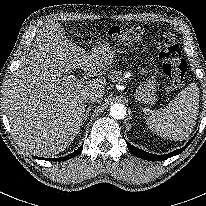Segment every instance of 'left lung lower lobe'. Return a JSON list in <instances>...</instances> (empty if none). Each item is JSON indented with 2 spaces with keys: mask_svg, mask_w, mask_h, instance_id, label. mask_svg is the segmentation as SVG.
<instances>
[{
  "mask_svg": "<svg viewBox=\"0 0 206 206\" xmlns=\"http://www.w3.org/2000/svg\"><path fill=\"white\" fill-rule=\"evenodd\" d=\"M195 136L183 148H180V149H178V150H176L174 152H171L169 154H166V155L150 154L148 152H145V151H143L141 149H138V148L132 146L128 142H126V143H127V147L130 150V152L132 154H134L135 156H137L139 158H142V159H145V160H149V161H160V160H166V159H168V158H170L172 156L178 155L181 152H183L184 149L187 148V146L192 142V140L195 138Z\"/></svg>",
  "mask_w": 206,
  "mask_h": 206,
  "instance_id": "obj_1",
  "label": "left lung lower lobe"
}]
</instances>
